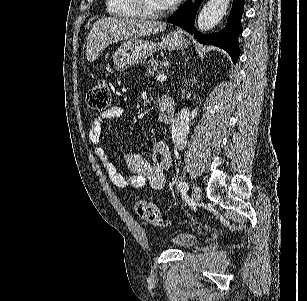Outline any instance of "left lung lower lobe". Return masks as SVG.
Here are the masks:
<instances>
[{
	"mask_svg": "<svg viewBox=\"0 0 307 301\" xmlns=\"http://www.w3.org/2000/svg\"><path fill=\"white\" fill-rule=\"evenodd\" d=\"M201 2L202 0L187 1L167 21L194 34L200 43L215 45L226 50L236 64L239 57L237 36L242 32L241 16L245 0H233L227 24L221 32L204 35L194 27L195 17Z\"/></svg>",
	"mask_w": 307,
	"mask_h": 301,
	"instance_id": "0a47b994",
	"label": "left lung lower lobe"
}]
</instances>
